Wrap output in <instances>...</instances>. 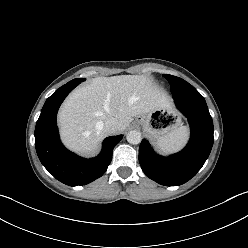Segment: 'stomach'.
<instances>
[{
	"label": "stomach",
	"mask_w": 248,
	"mask_h": 248,
	"mask_svg": "<svg viewBox=\"0 0 248 248\" xmlns=\"http://www.w3.org/2000/svg\"><path fill=\"white\" fill-rule=\"evenodd\" d=\"M137 124L142 126L144 133L158 139L179 126L180 121L167 109L156 110L149 114L140 115L136 119Z\"/></svg>",
	"instance_id": "0dacf381"
}]
</instances>
